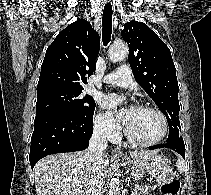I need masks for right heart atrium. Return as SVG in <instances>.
<instances>
[{
  "label": "right heart atrium",
  "instance_id": "obj_1",
  "mask_svg": "<svg viewBox=\"0 0 211 195\" xmlns=\"http://www.w3.org/2000/svg\"><path fill=\"white\" fill-rule=\"evenodd\" d=\"M95 129L102 136L114 140L119 134V125L109 112H99L95 117Z\"/></svg>",
  "mask_w": 211,
  "mask_h": 195
}]
</instances>
